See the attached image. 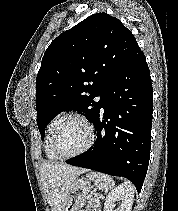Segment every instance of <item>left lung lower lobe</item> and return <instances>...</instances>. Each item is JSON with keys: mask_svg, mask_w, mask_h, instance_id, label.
Returning <instances> with one entry per match:
<instances>
[{"mask_svg": "<svg viewBox=\"0 0 178 211\" xmlns=\"http://www.w3.org/2000/svg\"><path fill=\"white\" fill-rule=\"evenodd\" d=\"M94 146L67 160L73 166L129 179L140 192L150 158L153 88L137 45L104 92Z\"/></svg>", "mask_w": 178, "mask_h": 211, "instance_id": "1", "label": "left lung lower lobe"}]
</instances>
